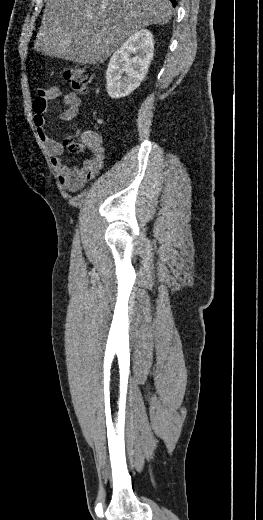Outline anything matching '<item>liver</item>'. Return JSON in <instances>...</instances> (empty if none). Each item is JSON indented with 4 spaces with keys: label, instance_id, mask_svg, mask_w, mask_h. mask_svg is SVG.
Here are the masks:
<instances>
[{
    "label": "liver",
    "instance_id": "obj_1",
    "mask_svg": "<svg viewBox=\"0 0 263 520\" xmlns=\"http://www.w3.org/2000/svg\"><path fill=\"white\" fill-rule=\"evenodd\" d=\"M169 0H47L34 49L81 65L103 63L130 36L172 17Z\"/></svg>",
    "mask_w": 263,
    "mask_h": 520
}]
</instances>
